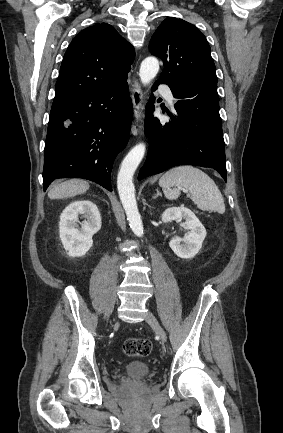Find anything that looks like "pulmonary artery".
Wrapping results in <instances>:
<instances>
[{"label":"pulmonary artery","instance_id":"e3ab8cb5","mask_svg":"<svg viewBox=\"0 0 283 433\" xmlns=\"http://www.w3.org/2000/svg\"><path fill=\"white\" fill-rule=\"evenodd\" d=\"M157 88H158V90H157L158 95L164 96L168 106L170 108L174 109V106H175L177 100L174 97V95L172 94L171 88L165 87V85L162 83L159 84Z\"/></svg>","mask_w":283,"mask_h":433}]
</instances>
